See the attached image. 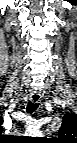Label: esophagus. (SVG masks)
I'll list each match as a JSON object with an SVG mask.
<instances>
[{
	"label": "esophagus",
	"mask_w": 77,
	"mask_h": 143,
	"mask_svg": "<svg viewBox=\"0 0 77 143\" xmlns=\"http://www.w3.org/2000/svg\"><path fill=\"white\" fill-rule=\"evenodd\" d=\"M29 98L33 103H38L41 100V94L30 93Z\"/></svg>",
	"instance_id": "esophagus-1"
}]
</instances>
